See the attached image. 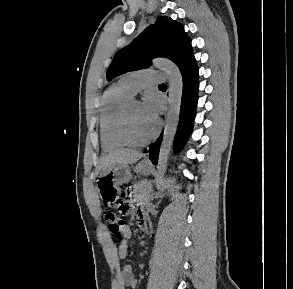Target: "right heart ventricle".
Here are the masks:
<instances>
[{"mask_svg": "<svg viewBox=\"0 0 293 289\" xmlns=\"http://www.w3.org/2000/svg\"><path fill=\"white\" fill-rule=\"evenodd\" d=\"M132 96L120 82L103 95L99 123L101 145L105 151H114L125 145L119 136L118 126L122 110Z\"/></svg>", "mask_w": 293, "mask_h": 289, "instance_id": "1", "label": "right heart ventricle"}]
</instances>
